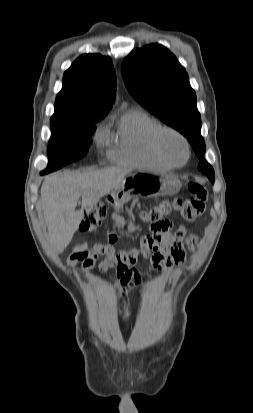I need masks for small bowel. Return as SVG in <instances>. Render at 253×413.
Returning <instances> with one entry per match:
<instances>
[{
  "instance_id": "c3829d8e",
  "label": "small bowel",
  "mask_w": 253,
  "mask_h": 413,
  "mask_svg": "<svg viewBox=\"0 0 253 413\" xmlns=\"http://www.w3.org/2000/svg\"><path fill=\"white\" fill-rule=\"evenodd\" d=\"M113 219L119 221L120 216L114 215ZM172 223L163 220L158 226L152 227V235L145 236L139 249L115 253L110 245L94 244L91 248L87 244L75 246L66 259L68 266L80 264L86 272L98 265L101 272L106 273L111 268H117L120 292L125 296L132 288L141 282L138 272L133 270V265L138 256L148 257L151 252V264L157 270H163L168 275L175 265L184 261L186 247L192 248L196 238L188 235L185 228L181 227L174 233L171 232ZM100 256L105 258L99 261ZM120 312L124 318L129 316V306L121 304Z\"/></svg>"
}]
</instances>
